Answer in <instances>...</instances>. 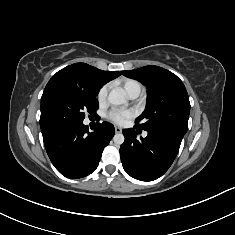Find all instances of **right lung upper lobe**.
Listing matches in <instances>:
<instances>
[{"instance_id": "1", "label": "right lung upper lobe", "mask_w": 235, "mask_h": 235, "mask_svg": "<svg viewBox=\"0 0 235 235\" xmlns=\"http://www.w3.org/2000/svg\"><path fill=\"white\" fill-rule=\"evenodd\" d=\"M119 72L97 69L86 63H75L58 71L55 76H64L90 91L99 92L107 82L117 78Z\"/></svg>"}]
</instances>
